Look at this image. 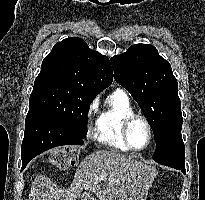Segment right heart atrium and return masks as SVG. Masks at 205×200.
<instances>
[{
	"label": "right heart atrium",
	"instance_id": "d8ad5b80",
	"mask_svg": "<svg viewBox=\"0 0 205 200\" xmlns=\"http://www.w3.org/2000/svg\"><path fill=\"white\" fill-rule=\"evenodd\" d=\"M99 107V101L98 98L95 97L88 105L87 111H86V123H87V134L88 136H92L93 134V129L91 126L92 119L95 116V114L98 111Z\"/></svg>",
	"mask_w": 205,
	"mask_h": 200
}]
</instances>
